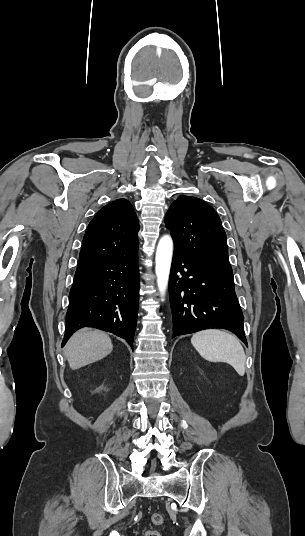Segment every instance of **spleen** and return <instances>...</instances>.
<instances>
[{"label":"spleen","instance_id":"obj_1","mask_svg":"<svg viewBox=\"0 0 305 536\" xmlns=\"http://www.w3.org/2000/svg\"><path fill=\"white\" fill-rule=\"evenodd\" d=\"M191 344L208 362H226L239 376L245 374V352L235 336L221 330H203L191 338Z\"/></svg>","mask_w":305,"mask_h":536}]
</instances>
